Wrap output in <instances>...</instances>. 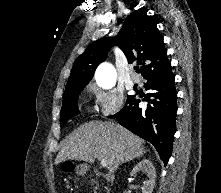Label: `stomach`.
<instances>
[{"instance_id":"1","label":"stomach","mask_w":221,"mask_h":193,"mask_svg":"<svg viewBox=\"0 0 221 193\" xmlns=\"http://www.w3.org/2000/svg\"><path fill=\"white\" fill-rule=\"evenodd\" d=\"M85 171V166H81V170L79 171V174H82Z\"/></svg>"}]
</instances>
